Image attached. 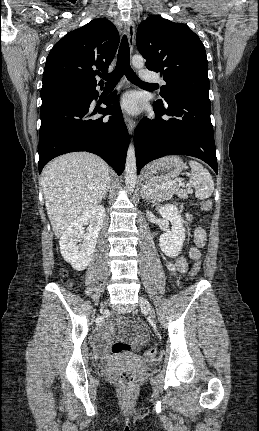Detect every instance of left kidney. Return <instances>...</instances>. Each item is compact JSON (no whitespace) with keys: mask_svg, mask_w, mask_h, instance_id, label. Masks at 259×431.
<instances>
[{"mask_svg":"<svg viewBox=\"0 0 259 431\" xmlns=\"http://www.w3.org/2000/svg\"><path fill=\"white\" fill-rule=\"evenodd\" d=\"M159 213L163 218L172 223L171 231L160 236L159 246L166 256L176 257L180 253L185 240V228L182 217L177 207L169 204L160 207Z\"/></svg>","mask_w":259,"mask_h":431,"instance_id":"1","label":"left kidney"}]
</instances>
